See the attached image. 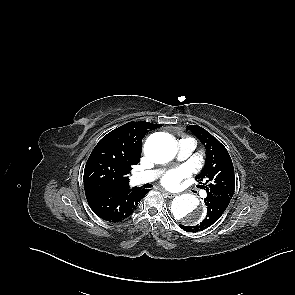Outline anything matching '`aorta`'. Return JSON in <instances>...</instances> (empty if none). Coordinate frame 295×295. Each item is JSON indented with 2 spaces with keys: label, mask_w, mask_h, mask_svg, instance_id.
Listing matches in <instances>:
<instances>
[{
  "label": "aorta",
  "mask_w": 295,
  "mask_h": 295,
  "mask_svg": "<svg viewBox=\"0 0 295 295\" xmlns=\"http://www.w3.org/2000/svg\"><path fill=\"white\" fill-rule=\"evenodd\" d=\"M145 155L155 163H166L172 160L177 153L175 139L164 132H157L148 137L144 145ZM199 200L192 194H182L173 199L171 213L174 218L189 225L201 222L202 213H196Z\"/></svg>",
  "instance_id": "762f6f07"
}]
</instances>
